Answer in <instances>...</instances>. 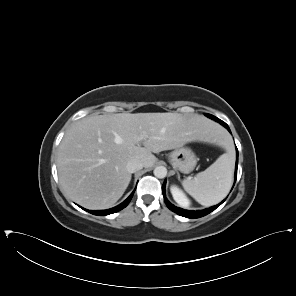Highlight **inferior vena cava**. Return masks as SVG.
<instances>
[{
  "label": "inferior vena cava",
  "instance_id": "inferior-vena-cava-1",
  "mask_svg": "<svg viewBox=\"0 0 296 296\" xmlns=\"http://www.w3.org/2000/svg\"><path fill=\"white\" fill-rule=\"evenodd\" d=\"M144 166H143V163L140 161V160H137V159H133V160H130L128 163H127V170L130 172V173H134L140 169H142Z\"/></svg>",
  "mask_w": 296,
  "mask_h": 296
}]
</instances>
